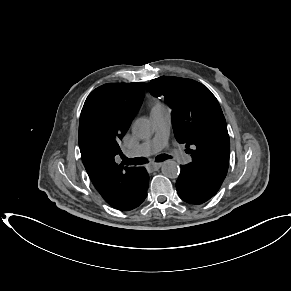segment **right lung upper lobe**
I'll use <instances>...</instances> for the list:
<instances>
[{
  "label": "right lung upper lobe",
  "mask_w": 291,
  "mask_h": 291,
  "mask_svg": "<svg viewBox=\"0 0 291 291\" xmlns=\"http://www.w3.org/2000/svg\"><path fill=\"white\" fill-rule=\"evenodd\" d=\"M146 84L108 83L87 97L79 121V147L84 167L97 191L111 206L129 196L135 168L115 163L119 147L138 112Z\"/></svg>",
  "instance_id": "cb5924a9"
}]
</instances>
